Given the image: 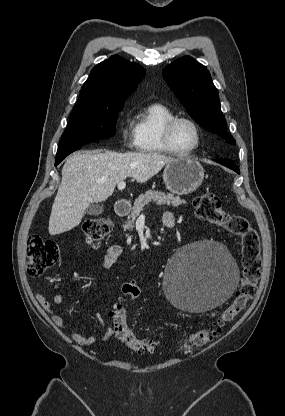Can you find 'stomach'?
I'll use <instances>...</instances> for the list:
<instances>
[{
    "label": "stomach",
    "mask_w": 285,
    "mask_h": 416,
    "mask_svg": "<svg viewBox=\"0 0 285 416\" xmlns=\"http://www.w3.org/2000/svg\"><path fill=\"white\" fill-rule=\"evenodd\" d=\"M203 178V166L188 156H182V158H176L173 162H169L163 172L166 190L172 194H178V196L195 192L201 186Z\"/></svg>",
    "instance_id": "1"
}]
</instances>
